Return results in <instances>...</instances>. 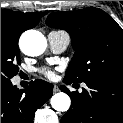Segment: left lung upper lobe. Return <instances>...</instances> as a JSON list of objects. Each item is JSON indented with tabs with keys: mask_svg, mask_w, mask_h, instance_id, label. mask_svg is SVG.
Masks as SVG:
<instances>
[{
	"mask_svg": "<svg viewBox=\"0 0 123 123\" xmlns=\"http://www.w3.org/2000/svg\"><path fill=\"white\" fill-rule=\"evenodd\" d=\"M66 30L75 54L65 78L72 82L123 80V29L104 11L88 7L54 12L46 20Z\"/></svg>",
	"mask_w": 123,
	"mask_h": 123,
	"instance_id": "1",
	"label": "left lung upper lobe"
}]
</instances>
